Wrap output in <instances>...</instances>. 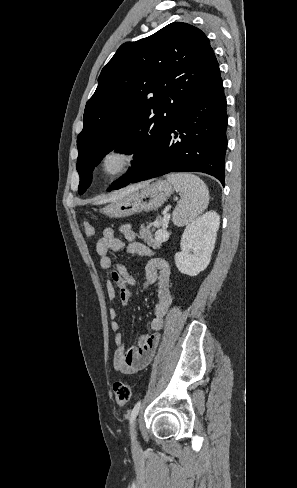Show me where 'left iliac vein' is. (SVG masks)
<instances>
[{
  "label": "left iliac vein",
  "instance_id": "4c4485c4",
  "mask_svg": "<svg viewBox=\"0 0 297 488\" xmlns=\"http://www.w3.org/2000/svg\"><path fill=\"white\" fill-rule=\"evenodd\" d=\"M132 434L134 435V437L137 435V432L135 430V425L133 426V433ZM136 447H137V442L134 441V448H136Z\"/></svg>",
  "mask_w": 297,
  "mask_h": 488
}]
</instances>
